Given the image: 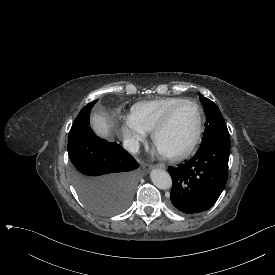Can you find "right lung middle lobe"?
I'll return each instance as SVG.
<instances>
[{"instance_id": "1", "label": "right lung middle lobe", "mask_w": 275, "mask_h": 275, "mask_svg": "<svg viewBox=\"0 0 275 275\" xmlns=\"http://www.w3.org/2000/svg\"><path fill=\"white\" fill-rule=\"evenodd\" d=\"M96 102L80 111L69 132L70 174L86 206L98 215L111 216L129 206L142 170L120 145L107 142L92 131L89 115Z\"/></svg>"}]
</instances>
